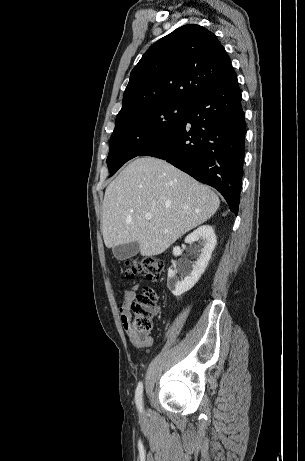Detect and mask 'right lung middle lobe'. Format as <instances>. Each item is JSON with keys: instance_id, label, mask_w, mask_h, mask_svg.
I'll return each instance as SVG.
<instances>
[{"instance_id": "obj_1", "label": "right lung middle lobe", "mask_w": 305, "mask_h": 461, "mask_svg": "<svg viewBox=\"0 0 305 461\" xmlns=\"http://www.w3.org/2000/svg\"><path fill=\"white\" fill-rule=\"evenodd\" d=\"M188 109V103H163L117 120L107 157L110 176L125 162L173 132Z\"/></svg>"}]
</instances>
